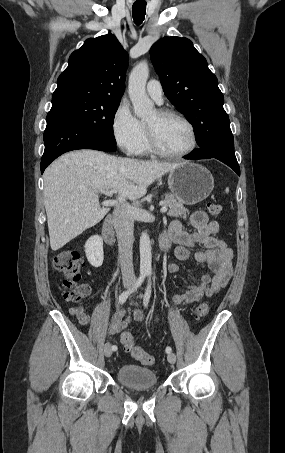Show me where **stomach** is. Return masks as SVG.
Segmentation results:
<instances>
[{"instance_id":"stomach-1","label":"stomach","mask_w":285,"mask_h":453,"mask_svg":"<svg viewBox=\"0 0 285 453\" xmlns=\"http://www.w3.org/2000/svg\"><path fill=\"white\" fill-rule=\"evenodd\" d=\"M168 185L178 202L195 205L210 195L214 188V179L204 166L182 162L169 172Z\"/></svg>"}]
</instances>
